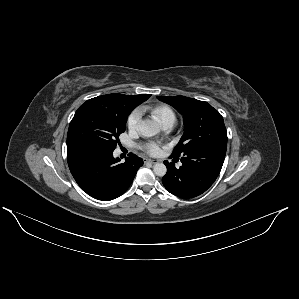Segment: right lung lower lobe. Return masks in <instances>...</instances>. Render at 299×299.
I'll return each instance as SVG.
<instances>
[{
    "label": "right lung lower lobe",
    "instance_id": "obj_1",
    "mask_svg": "<svg viewBox=\"0 0 299 299\" xmlns=\"http://www.w3.org/2000/svg\"><path fill=\"white\" fill-rule=\"evenodd\" d=\"M113 149L100 146H79L67 149L70 171L80 186L90 196L109 201L121 196L132 183L142 158L129 154L119 164Z\"/></svg>",
    "mask_w": 299,
    "mask_h": 299
}]
</instances>
